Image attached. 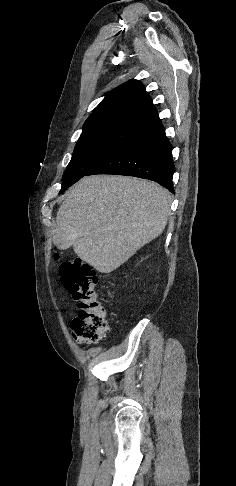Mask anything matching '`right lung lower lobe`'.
I'll use <instances>...</instances> for the list:
<instances>
[{"label": "right lung lower lobe", "instance_id": "right-lung-lower-lobe-1", "mask_svg": "<svg viewBox=\"0 0 236 486\" xmlns=\"http://www.w3.org/2000/svg\"><path fill=\"white\" fill-rule=\"evenodd\" d=\"M174 171L172 145L156 113L146 118L127 143L87 175L117 174L139 177L155 181L175 193L172 185Z\"/></svg>", "mask_w": 236, "mask_h": 486}]
</instances>
